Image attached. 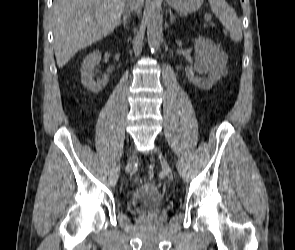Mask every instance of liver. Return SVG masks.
<instances>
[{
    "instance_id": "6515ba94",
    "label": "liver",
    "mask_w": 295,
    "mask_h": 250,
    "mask_svg": "<svg viewBox=\"0 0 295 250\" xmlns=\"http://www.w3.org/2000/svg\"><path fill=\"white\" fill-rule=\"evenodd\" d=\"M127 0H55L54 49L62 68L79 50L109 35L120 23ZM144 0H140V8Z\"/></svg>"
}]
</instances>
